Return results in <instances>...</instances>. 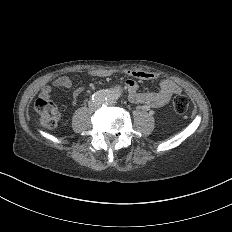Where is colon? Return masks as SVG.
<instances>
[{
  "label": "colon",
  "mask_w": 232,
  "mask_h": 232,
  "mask_svg": "<svg viewBox=\"0 0 232 232\" xmlns=\"http://www.w3.org/2000/svg\"><path fill=\"white\" fill-rule=\"evenodd\" d=\"M176 102L173 103L175 114H187L190 111V102L188 94H175ZM54 106V96H37V113H42L44 120H41L43 129H57L61 112H56Z\"/></svg>",
  "instance_id": "obj_1"
}]
</instances>
